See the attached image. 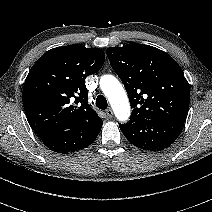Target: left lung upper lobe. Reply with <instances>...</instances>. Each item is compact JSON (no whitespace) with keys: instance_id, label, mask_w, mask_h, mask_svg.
I'll return each instance as SVG.
<instances>
[{"instance_id":"5c2ea615","label":"left lung upper lobe","mask_w":212,"mask_h":212,"mask_svg":"<svg viewBox=\"0 0 212 212\" xmlns=\"http://www.w3.org/2000/svg\"><path fill=\"white\" fill-rule=\"evenodd\" d=\"M107 56L120 77L133 108L130 121L164 118L185 122L190 88L177 62L149 45L110 47Z\"/></svg>"}]
</instances>
